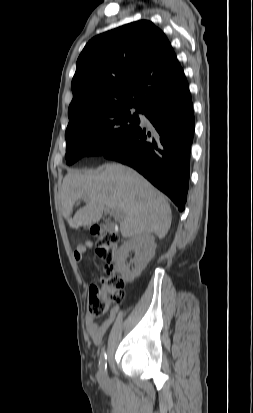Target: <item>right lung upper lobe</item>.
<instances>
[{
    "instance_id": "obj_1",
    "label": "right lung upper lobe",
    "mask_w": 253,
    "mask_h": 413,
    "mask_svg": "<svg viewBox=\"0 0 253 413\" xmlns=\"http://www.w3.org/2000/svg\"><path fill=\"white\" fill-rule=\"evenodd\" d=\"M71 87L69 121L107 107L142 108L177 98L188 82L165 34L140 20L92 38L77 60Z\"/></svg>"
}]
</instances>
